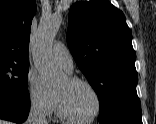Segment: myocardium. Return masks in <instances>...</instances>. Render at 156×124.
I'll return each instance as SVG.
<instances>
[{"mask_svg":"<svg viewBox=\"0 0 156 124\" xmlns=\"http://www.w3.org/2000/svg\"><path fill=\"white\" fill-rule=\"evenodd\" d=\"M65 78L69 83L82 84L88 87L95 96L97 107L95 112L89 117L86 118L76 117L66 108L61 95L56 90H54V96H55V102H56L58 114L63 119L73 123H89L97 119L103 110V100L97 88L90 81L75 75L67 74Z\"/></svg>","mask_w":156,"mask_h":124,"instance_id":"myocardium-1","label":"myocardium"}]
</instances>
